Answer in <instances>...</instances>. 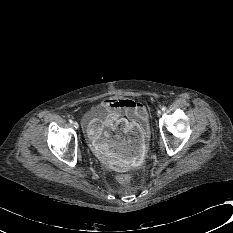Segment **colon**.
<instances>
[{"instance_id": "colon-1", "label": "colon", "mask_w": 233, "mask_h": 233, "mask_svg": "<svg viewBox=\"0 0 233 233\" xmlns=\"http://www.w3.org/2000/svg\"><path fill=\"white\" fill-rule=\"evenodd\" d=\"M114 127H115L116 129H119V130H120V129H122V124H121L120 122H116V123L114 124ZM117 180H118L119 183L126 185V184L130 183V181H131V176H130L129 174L123 173V174H120V175L117 177Z\"/></svg>"}]
</instances>
